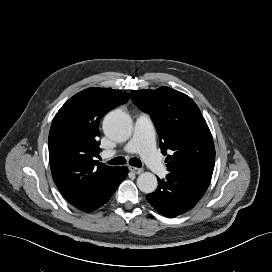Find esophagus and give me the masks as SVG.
<instances>
[{
	"mask_svg": "<svg viewBox=\"0 0 272 272\" xmlns=\"http://www.w3.org/2000/svg\"><path fill=\"white\" fill-rule=\"evenodd\" d=\"M129 170L135 174H141L143 172L142 168H137L133 166H129Z\"/></svg>",
	"mask_w": 272,
	"mask_h": 272,
	"instance_id": "34e87169",
	"label": "esophagus"
}]
</instances>
